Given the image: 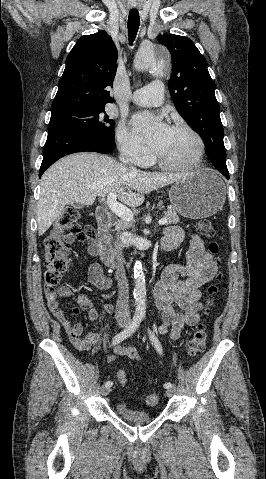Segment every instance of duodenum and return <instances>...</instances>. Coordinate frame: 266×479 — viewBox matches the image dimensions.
<instances>
[{"instance_id":"1","label":"duodenum","mask_w":266,"mask_h":479,"mask_svg":"<svg viewBox=\"0 0 266 479\" xmlns=\"http://www.w3.org/2000/svg\"><path fill=\"white\" fill-rule=\"evenodd\" d=\"M96 221L98 234L95 244L91 247V254L101 259L107 266L117 269L120 267V259L114 252L108 236V230L112 219L109 210L105 207H98L96 210Z\"/></svg>"}]
</instances>
